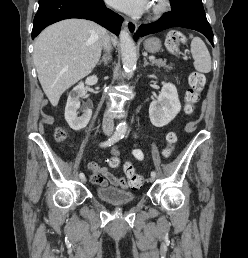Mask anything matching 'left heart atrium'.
<instances>
[{"mask_svg": "<svg viewBox=\"0 0 248 258\" xmlns=\"http://www.w3.org/2000/svg\"><path fill=\"white\" fill-rule=\"evenodd\" d=\"M109 5L131 15H140L144 13L149 5L150 0H106Z\"/></svg>", "mask_w": 248, "mask_h": 258, "instance_id": "39dd6f15", "label": "left heart atrium"}]
</instances>
